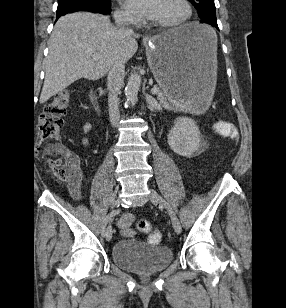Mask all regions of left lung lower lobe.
I'll return each mask as SVG.
<instances>
[{"instance_id":"obj_1","label":"left lung lower lobe","mask_w":286,"mask_h":308,"mask_svg":"<svg viewBox=\"0 0 286 308\" xmlns=\"http://www.w3.org/2000/svg\"><path fill=\"white\" fill-rule=\"evenodd\" d=\"M200 22L211 24L212 26H214L215 28H217L219 30L218 25H217V21H216V14L207 15V16L201 18Z\"/></svg>"}]
</instances>
